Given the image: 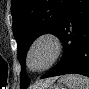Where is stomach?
<instances>
[{
  "instance_id": "0dacf381",
  "label": "stomach",
  "mask_w": 89,
  "mask_h": 89,
  "mask_svg": "<svg viewBox=\"0 0 89 89\" xmlns=\"http://www.w3.org/2000/svg\"><path fill=\"white\" fill-rule=\"evenodd\" d=\"M49 89H65V87L63 85L59 84V85H53Z\"/></svg>"
}]
</instances>
